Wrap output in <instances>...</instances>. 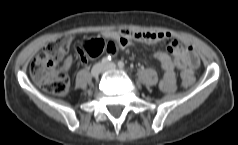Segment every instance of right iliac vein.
<instances>
[{
  "label": "right iliac vein",
  "instance_id": "1",
  "mask_svg": "<svg viewBox=\"0 0 238 145\" xmlns=\"http://www.w3.org/2000/svg\"><path fill=\"white\" fill-rule=\"evenodd\" d=\"M102 71H103V65L101 63H97L91 69V76L94 78L98 77Z\"/></svg>",
  "mask_w": 238,
  "mask_h": 145
}]
</instances>
